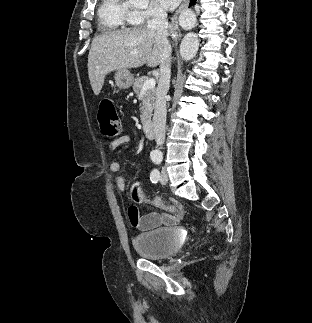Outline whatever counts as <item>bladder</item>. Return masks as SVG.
<instances>
[{"label":"bladder","mask_w":312,"mask_h":323,"mask_svg":"<svg viewBox=\"0 0 312 323\" xmlns=\"http://www.w3.org/2000/svg\"><path fill=\"white\" fill-rule=\"evenodd\" d=\"M133 246L140 257L162 259L177 253L179 239L175 228L155 229L147 234L134 236Z\"/></svg>","instance_id":"1"}]
</instances>
